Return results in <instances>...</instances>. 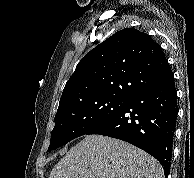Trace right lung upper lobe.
I'll list each match as a JSON object with an SVG mask.
<instances>
[{
  "instance_id": "right-lung-upper-lobe-1",
  "label": "right lung upper lobe",
  "mask_w": 194,
  "mask_h": 178,
  "mask_svg": "<svg viewBox=\"0 0 194 178\" xmlns=\"http://www.w3.org/2000/svg\"><path fill=\"white\" fill-rule=\"evenodd\" d=\"M172 77L160 45L148 34L126 28L82 58L64 87L59 108L98 96L129 99L138 91Z\"/></svg>"
}]
</instances>
